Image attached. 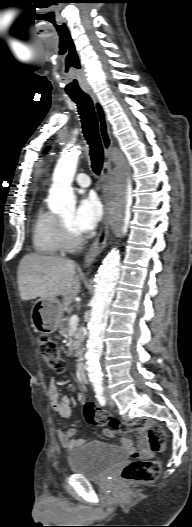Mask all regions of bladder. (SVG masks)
I'll list each match as a JSON object with an SVG mask.
<instances>
[{
  "label": "bladder",
  "mask_w": 192,
  "mask_h": 527,
  "mask_svg": "<svg viewBox=\"0 0 192 527\" xmlns=\"http://www.w3.org/2000/svg\"><path fill=\"white\" fill-rule=\"evenodd\" d=\"M127 458L119 447L91 441L73 450L68 456V465L75 475L89 480H102Z\"/></svg>",
  "instance_id": "31cf9c89"
}]
</instances>
